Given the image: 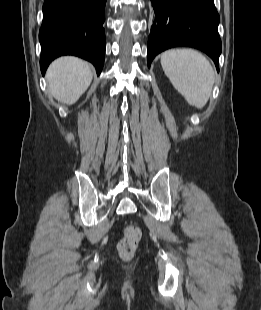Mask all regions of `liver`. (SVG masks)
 <instances>
[{
	"mask_svg": "<svg viewBox=\"0 0 261 310\" xmlns=\"http://www.w3.org/2000/svg\"><path fill=\"white\" fill-rule=\"evenodd\" d=\"M93 78L91 65L76 57H62L48 68L46 79L51 95L67 105L74 104Z\"/></svg>",
	"mask_w": 261,
	"mask_h": 310,
	"instance_id": "6515ba94",
	"label": "liver"
}]
</instances>
